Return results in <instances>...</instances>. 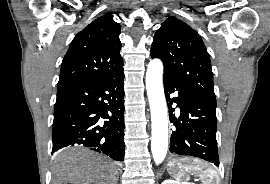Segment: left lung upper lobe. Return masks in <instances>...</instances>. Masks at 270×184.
I'll return each instance as SVG.
<instances>
[{
	"mask_svg": "<svg viewBox=\"0 0 270 184\" xmlns=\"http://www.w3.org/2000/svg\"><path fill=\"white\" fill-rule=\"evenodd\" d=\"M152 58H160L164 73L175 76L216 103L210 57L201 36L185 22L169 17L156 31Z\"/></svg>",
	"mask_w": 270,
	"mask_h": 184,
	"instance_id": "left-lung-upper-lobe-1",
	"label": "left lung upper lobe"
}]
</instances>
